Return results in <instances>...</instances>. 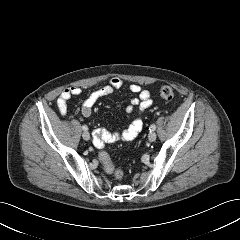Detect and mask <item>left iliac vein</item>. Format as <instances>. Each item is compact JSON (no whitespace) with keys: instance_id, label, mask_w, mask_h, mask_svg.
<instances>
[{"instance_id":"obj_1","label":"left iliac vein","mask_w":240,"mask_h":240,"mask_svg":"<svg viewBox=\"0 0 240 240\" xmlns=\"http://www.w3.org/2000/svg\"><path fill=\"white\" fill-rule=\"evenodd\" d=\"M156 137H157V135H156L155 132H150L149 135H148V140H149L150 142H153V141L156 140Z\"/></svg>"}]
</instances>
